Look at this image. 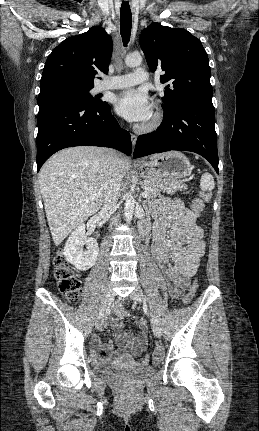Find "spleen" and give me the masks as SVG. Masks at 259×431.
Wrapping results in <instances>:
<instances>
[{
	"label": "spleen",
	"mask_w": 259,
	"mask_h": 431,
	"mask_svg": "<svg viewBox=\"0 0 259 431\" xmlns=\"http://www.w3.org/2000/svg\"><path fill=\"white\" fill-rule=\"evenodd\" d=\"M200 187L202 191H212L215 187V182L210 173H203L200 180Z\"/></svg>",
	"instance_id": "spleen-1"
}]
</instances>
